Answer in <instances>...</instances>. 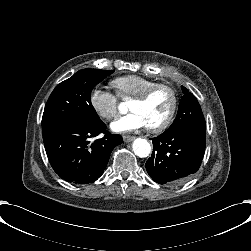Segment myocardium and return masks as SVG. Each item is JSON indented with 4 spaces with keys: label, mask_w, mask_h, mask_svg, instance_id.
<instances>
[{
    "label": "myocardium",
    "mask_w": 251,
    "mask_h": 251,
    "mask_svg": "<svg viewBox=\"0 0 251 251\" xmlns=\"http://www.w3.org/2000/svg\"><path fill=\"white\" fill-rule=\"evenodd\" d=\"M159 88H167L171 91L172 96H173V103H172V107L169 113L167 114L164 120H162L161 122L157 124L148 126V129L151 131H161V130L166 129L171 124L179 106L178 91L170 83L155 82L152 85H150L148 88H146L140 95L134 97V101L147 102L151 98V96L154 94V92Z\"/></svg>",
    "instance_id": "f54148a6"
}]
</instances>
